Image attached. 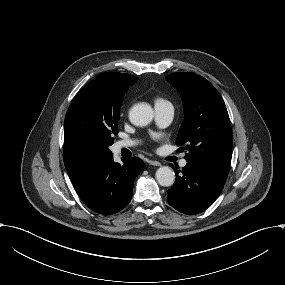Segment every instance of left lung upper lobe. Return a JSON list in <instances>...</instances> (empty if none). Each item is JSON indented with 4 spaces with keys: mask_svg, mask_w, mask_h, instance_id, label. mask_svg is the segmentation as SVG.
Returning <instances> with one entry per match:
<instances>
[{
    "mask_svg": "<svg viewBox=\"0 0 285 285\" xmlns=\"http://www.w3.org/2000/svg\"><path fill=\"white\" fill-rule=\"evenodd\" d=\"M166 79L176 87L184 105L185 120L176 143L187 150L186 161L227 172L233 136L223 99L208 80L195 73H173Z\"/></svg>",
    "mask_w": 285,
    "mask_h": 285,
    "instance_id": "5c2ea615",
    "label": "left lung upper lobe"
}]
</instances>
